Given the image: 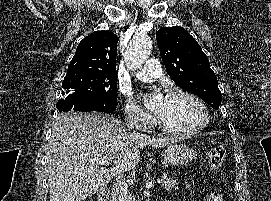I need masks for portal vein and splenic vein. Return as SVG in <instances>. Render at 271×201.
I'll return each instance as SVG.
<instances>
[{"instance_id": "obj_1", "label": "portal vein and splenic vein", "mask_w": 271, "mask_h": 201, "mask_svg": "<svg viewBox=\"0 0 271 201\" xmlns=\"http://www.w3.org/2000/svg\"><path fill=\"white\" fill-rule=\"evenodd\" d=\"M93 162L97 164H101V165H107V166L111 164L110 161L105 158H95ZM157 183L159 184L162 183V179H157Z\"/></svg>"}]
</instances>
